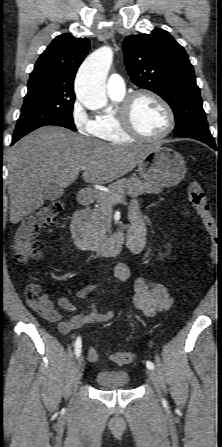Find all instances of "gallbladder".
Instances as JSON below:
<instances>
[{"instance_id":"bac80fb5","label":"gallbladder","mask_w":222,"mask_h":447,"mask_svg":"<svg viewBox=\"0 0 222 447\" xmlns=\"http://www.w3.org/2000/svg\"><path fill=\"white\" fill-rule=\"evenodd\" d=\"M64 194L63 188H60L54 184L49 185L44 190V198L48 201H54L59 199Z\"/></svg>"}]
</instances>
